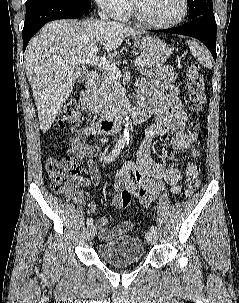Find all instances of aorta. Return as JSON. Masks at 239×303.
Wrapping results in <instances>:
<instances>
[{
	"label": "aorta",
	"instance_id": "762f6f07",
	"mask_svg": "<svg viewBox=\"0 0 239 303\" xmlns=\"http://www.w3.org/2000/svg\"><path fill=\"white\" fill-rule=\"evenodd\" d=\"M129 130H130L129 117H126V121L124 122V131L121 136L122 140L129 141L130 139Z\"/></svg>",
	"mask_w": 239,
	"mask_h": 303
}]
</instances>
